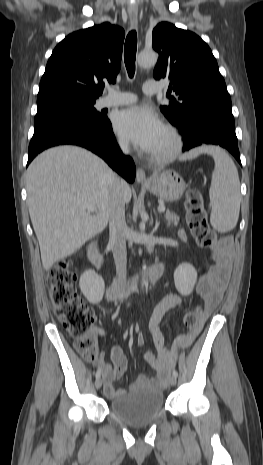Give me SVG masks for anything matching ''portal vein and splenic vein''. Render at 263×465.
Masks as SVG:
<instances>
[{"mask_svg":"<svg viewBox=\"0 0 263 465\" xmlns=\"http://www.w3.org/2000/svg\"><path fill=\"white\" fill-rule=\"evenodd\" d=\"M80 205L83 208H85L88 212H96L97 211V208L94 205H91L89 203L82 202V203H80ZM158 211L159 212H164L165 211V206L164 205H159Z\"/></svg>","mask_w":263,"mask_h":465,"instance_id":"18ae733b","label":"portal vein and splenic vein"}]
</instances>
